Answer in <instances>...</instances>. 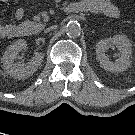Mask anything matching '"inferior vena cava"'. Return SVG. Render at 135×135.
Segmentation results:
<instances>
[{
	"label": "inferior vena cava",
	"instance_id": "602c4592",
	"mask_svg": "<svg viewBox=\"0 0 135 135\" xmlns=\"http://www.w3.org/2000/svg\"><path fill=\"white\" fill-rule=\"evenodd\" d=\"M55 27L54 26H52V27H50V28H47L46 30H45V32H49V31H51L52 29H54Z\"/></svg>",
	"mask_w": 135,
	"mask_h": 135
}]
</instances>
